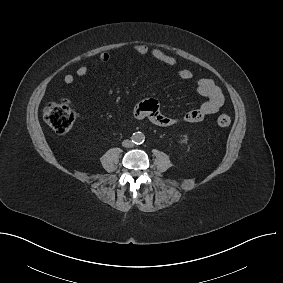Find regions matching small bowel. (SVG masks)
<instances>
[{
	"label": "small bowel",
	"mask_w": 283,
	"mask_h": 283,
	"mask_svg": "<svg viewBox=\"0 0 283 283\" xmlns=\"http://www.w3.org/2000/svg\"><path fill=\"white\" fill-rule=\"evenodd\" d=\"M132 51L138 55H151L157 61L168 66H174L177 63L175 57L165 53L159 48H150L144 44H137L132 47ZM111 54L103 52L99 55L98 60L93 62L91 68L95 69L98 64L109 62ZM89 71L87 66H80L74 74L69 73L64 77L67 85L74 83L76 77H83ZM177 76L181 80H191L193 73L189 69H181L177 72ZM197 93L206 98V100L195 109L188 111L181 119L169 117L161 112L159 103L156 99H146L137 104L134 109V116L139 120H148L157 126H171L179 121L187 123H197L202 121L206 116L217 113L224 105V95L221 89L208 78L199 79L196 83Z\"/></svg>",
	"instance_id": "small-bowel-1"
}]
</instances>
